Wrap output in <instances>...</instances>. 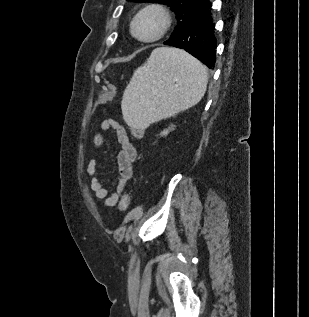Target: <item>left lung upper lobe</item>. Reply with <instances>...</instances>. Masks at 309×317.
Returning <instances> with one entry per match:
<instances>
[{
  "mask_svg": "<svg viewBox=\"0 0 309 317\" xmlns=\"http://www.w3.org/2000/svg\"><path fill=\"white\" fill-rule=\"evenodd\" d=\"M132 2H154L162 3L171 7L177 18V26L172 35L180 32L185 26L191 15L209 0H127Z\"/></svg>",
  "mask_w": 309,
  "mask_h": 317,
  "instance_id": "left-lung-upper-lobe-1",
  "label": "left lung upper lobe"
}]
</instances>
